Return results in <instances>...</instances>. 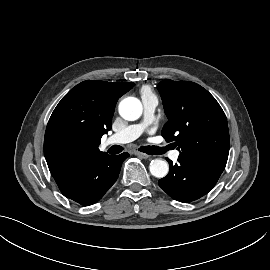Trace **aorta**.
<instances>
[{
	"label": "aorta",
	"mask_w": 270,
	"mask_h": 270,
	"mask_svg": "<svg viewBox=\"0 0 270 270\" xmlns=\"http://www.w3.org/2000/svg\"><path fill=\"white\" fill-rule=\"evenodd\" d=\"M119 114L122 118L128 121L137 120L143 111L142 104L135 97L124 98L119 103ZM150 173L156 178H163L168 174V163L161 159L152 160L149 166Z\"/></svg>",
	"instance_id": "762f6f07"
}]
</instances>
